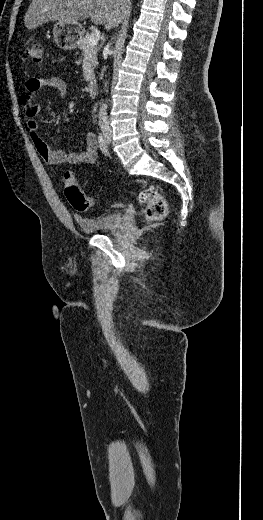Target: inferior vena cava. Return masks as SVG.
Here are the masks:
<instances>
[{"label": "inferior vena cava", "instance_id": "1", "mask_svg": "<svg viewBox=\"0 0 263 520\" xmlns=\"http://www.w3.org/2000/svg\"><path fill=\"white\" fill-rule=\"evenodd\" d=\"M99 126H100L101 130H103V131L110 130L109 121H108V117H107V111H106V105L103 103L101 104V107L99 110Z\"/></svg>", "mask_w": 263, "mask_h": 520}]
</instances>
